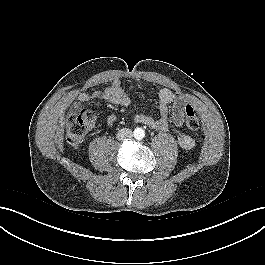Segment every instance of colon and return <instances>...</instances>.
Listing matches in <instances>:
<instances>
[{"label":"colon","instance_id":"5ec220e1","mask_svg":"<svg viewBox=\"0 0 265 265\" xmlns=\"http://www.w3.org/2000/svg\"><path fill=\"white\" fill-rule=\"evenodd\" d=\"M185 126L196 131L199 128V117L191 105L185 107ZM96 116L89 109H82L76 114L70 115L66 122V139L73 146L80 145L85 135L94 127Z\"/></svg>","mask_w":265,"mask_h":265}]
</instances>
